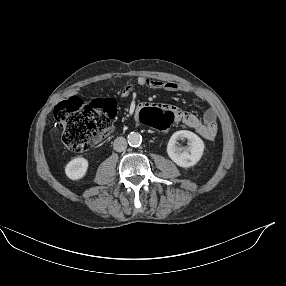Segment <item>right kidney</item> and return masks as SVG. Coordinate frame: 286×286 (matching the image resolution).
I'll list each match as a JSON object with an SVG mask.
<instances>
[{"label":"right kidney","instance_id":"1","mask_svg":"<svg viewBox=\"0 0 286 286\" xmlns=\"http://www.w3.org/2000/svg\"><path fill=\"white\" fill-rule=\"evenodd\" d=\"M88 169V160L82 157L72 159L65 168L68 178L78 180L85 176Z\"/></svg>","mask_w":286,"mask_h":286}]
</instances>
